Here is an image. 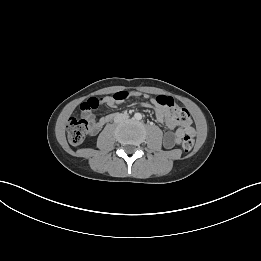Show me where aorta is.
<instances>
[{"label":"aorta","mask_w":261,"mask_h":261,"mask_svg":"<svg viewBox=\"0 0 261 261\" xmlns=\"http://www.w3.org/2000/svg\"><path fill=\"white\" fill-rule=\"evenodd\" d=\"M134 117H135V119H137V120L142 119V115H141L140 113H136V114L134 115Z\"/></svg>","instance_id":"1"}]
</instances>
